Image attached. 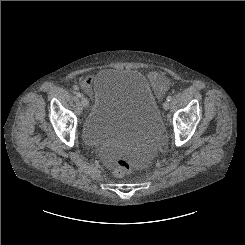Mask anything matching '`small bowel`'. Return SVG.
<instances>
[{"mask_svg": "<svg viewBox=\"0 0 245 245\" xmlns=\"http://www.w3.org/2000/svg\"><path fill=\"white\" fill-rule=\"evenodd\" d=\"M149 81L151 83L152 88L157 93V95L162 96L165 91L168 89L170 82L168 79L162 78L156 73H150L148 75ZM82 87L86 91H90L91 89V79L87 78L83 81Z\"/></svg>", "mask_w": 245, "mask_h": 245, "instance_id": "obj_1", "label": "small bowel"}]
</instances>
